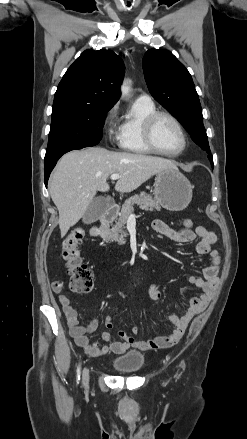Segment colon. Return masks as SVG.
Returning a JSON list of instances; mask_svg holds the SVG:
<instances>
[{"label": "colon", "mask_w": 247, "mask_h": 439, "mask_svg": "<svg viewBox=\"0 0 247 439\" xmlns=\"http://www.w3.org/2000/svg\"><path fill=\"white\" fill-rule=\"evenodd\" d=\"M183 225L186 228L193 226L190 219H185ZM85 240V233L82 229H74L63 240L61 255L65 261L67 274L71 278V289L78 293H88L93 288V272L83 262L80 255V246Z\"/></svg>", "instance_id": "obj_1"}]
</instances>
